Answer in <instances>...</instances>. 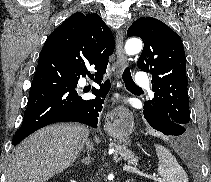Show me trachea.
<instances>
[{
  "label": "trachea",
  "mask_w": 211,
  "mask_h": 182,
  "mask_svg": "<svg viewBox=\"0 0 211 182\" xmlns=\"http://www.w3.org/2000/svg\"><path fill=\"white\" fill-rule=\"evenodd\" d=\"M122 78H123V81L125 82V85L128 86V87H131V88H136V89H141L140 87H138L132 77H131V73H130V69L127 67L125 68L123 74H122Z\"/></svg>",
  "instance_id": "trachea-1"
}]
</instances>
